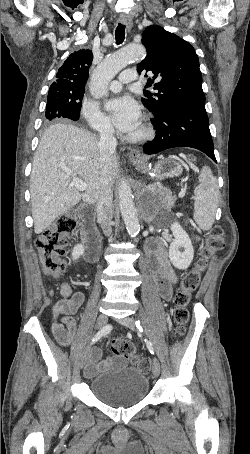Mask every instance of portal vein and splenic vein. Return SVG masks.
<instances>
[{"label": "portal vein and splenic vein", "instance_id": "1", "mask_svg": "<svg viewBox=\"0 0 250 454\" xmlns=\"http://www.w3.org/2000/svg\"><path fill=\"white\" fill-rule=\"evenodd\" d=\"M72 185L75 186L76 189L79 190V191H84L87 188V184L84 181H82L81 179L77 178V177H73ZM183 196H184L183 193L179 194L180 198H182Z\"/></svg>", "mask_w": 250, "mask_h": 454}]
</instances>
